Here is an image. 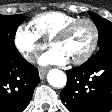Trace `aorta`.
Here are the masks:
<instances>
[{"label":"aorta","instance_id":"aorta-1","mask_svg":"<svg viewBox=\"0 0 112 112\" xmlns=\"http://www.w3.org/2000/svg\"><path fill=\"white\" fill-rule=\"evenodd\" d=\"M48 83L56 88H63L66 85V74L59 69H51L47 74Z\"/></svg>","mask_w":112,"mask_h":112}]
</instances>
